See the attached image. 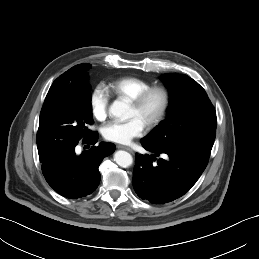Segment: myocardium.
Here are the masks:
<instances>
[{
  "label": "myocardium",
  "instance_id": "1",
  "mask_svg": "<svg viewBox=\"0 0 259 259\" xmlns=\"http://www.w3.org/2000/svg\"><path fill=\"white\" fill-rule=\"evenodd\" d=\"M154 93H158L161 96V105L156 115L146 124L149 129L159 125L166 117L171 103V95L169 90L161 85L150 86L130 100L132 106L140 108Z\"/></svg>",
  "mask_w": 259,
  "mask_h": 259
}]
</instances>
